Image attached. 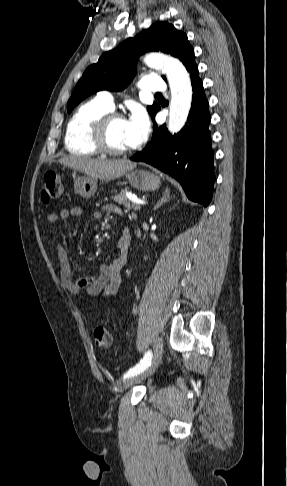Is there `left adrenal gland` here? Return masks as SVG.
I'll return each mask as SVG.
<instances>
[{"label":"left adrenal gland","mask_w":287,"mask_h":486,"mask_svg":"<svg viewBox=\"0 0 287 486\" xmlns=\"http://www.w3.org/2000/svg\"><path fill=\"white\" fill-rule=\"evenodd\" d=\"M170 200V191L169 189H166L165 192L163 193V197L157 202L153 210L158 209L161 207L164 203L168 202Z\"/></svg>","instance_id":"obj_1"}]
</instances>
